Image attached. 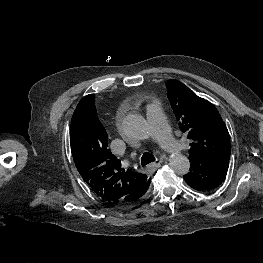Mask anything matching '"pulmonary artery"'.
Segmentation results:
<instances>
[{"label": "pulmonary artery", "mask_w": 263, "mask_h": 263, "mask_svg": "<svg viewBox=\"0 0 263 263\" xmlns=\"http://www.w3.org/2000/svg\"><path fill=\"white\" fill-rule=\"evenodd\" d=\"M146 115L149 134L156 138L167 151H178L180 144L171 135L160 104L154 102L147 105Z\"/></svg>", "instance_id": "1"}]
</instances>
